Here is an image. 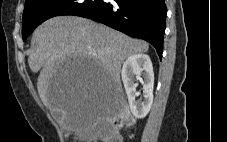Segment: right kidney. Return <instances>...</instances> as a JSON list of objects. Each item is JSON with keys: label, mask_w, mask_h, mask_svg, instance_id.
I'll return each mask as SVG.
<instances>
[{"label": "right kidney", "mask_w": 227, "mask_h": 142, "mask_svg": "<svg viewBox=\"0 0 227 142\" xmlns=\"http://www.w3.org/2000/svg\"><path fill=\"white\" fill-rule=\"evenodd\" d=\"M121 75L132 114L138 119L144 118L153 102L154 73L150 57L146 54L130 56L123 63ZM135 80L143 85V99L136 100L139 94Z\"/></svg>", "instance_id": "ca27d5eb"}]
</instances>
